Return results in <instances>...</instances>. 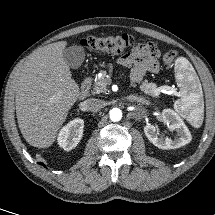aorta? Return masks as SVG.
<instances>
[{
  "instance_id": "762f6f07",
  "label": "aorta",
  "mask_w": 215,
  "mask_h": 215,
  "mask_svg": "<svg viewBox=\"0 0 215 215\" xmlns=\"http://www.w3.org/2000/svg\"><path fill=\"white\" fill-rule=\"evenodd\" d=\"M122 118V112L118 108H114L110 111V119L114 122L119 121Z\"/></svg>"
}]
</instances>
